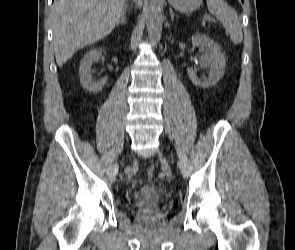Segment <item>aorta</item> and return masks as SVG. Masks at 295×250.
Segmentation results:
<instances>
[{
    "instance_id": "obj_1",
    "label": "aorta",
    "mask_w": 295,
    "mask_h": 250,
    "mask_svg": "<svg viewBox=\"0 0 295 250\" xmlns=\"http://www.w3.org/2000/svg\"><path fill=\"white\" fill-rule=\"evenodd\" d=\"M162 15L156 0H152L149 4L146 25L149 39L153 42H157L161 39L162 34Z\"/></svg>"
}]
</instances>
